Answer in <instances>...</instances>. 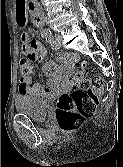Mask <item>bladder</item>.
I'll return each mask as SVG.
<instances>
[{
    "label": "bladder",
    "instance_id": "bladder-1",
    "mask_svg": "<svg viewBox=\"0 0 123 167\" xmlns=\"http://www.w3.org/2000/svg\"><path fill=\"white\" fill-rule=\"evenodd\" d=\"M16 110L34 121L45 122L49 116L52 101L47 96L19 95L15 99Z\"/></svg>",
    "mask_w": 123,
    "mask_h": 167
}]
</instances>
